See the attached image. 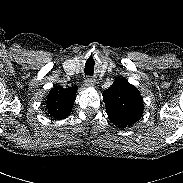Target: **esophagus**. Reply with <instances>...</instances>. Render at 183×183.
Returning a JSON list of instances; mask_svg holds the SVG:
<instances>
[{"mask_svg": "<svg viewBox=\"0 0 183 183\" xmlns=\"http://www.w3.org/2000/svg\"><path fill=\"white\" fill-rule=\"evenodd\" d=\"M85 85L86 86H88V87H92V86H94V83H95V80L92 78V77H87L86 79H85Z\"/></svg>", "mask_w": 183, "mask_h": 183, "instance_id": "esophagus-1", "label": "esophagus"}]
</instances>
